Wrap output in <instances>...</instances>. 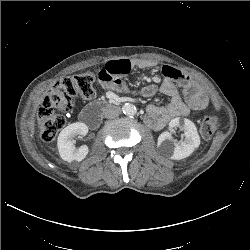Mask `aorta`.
Returning a JSON list of instances; mask_svg holds the SVG:
<instances>
[{"label": "aorta", "instance_id": "obj_1", "mask_svg": "<svg viewBox=\"0 0 250 250\" xmlns=\"http://www.w3.org/2000/svg\"><path fill=\"white\" fill-rule=\"evenodd\" d=\"M122 111L127 116H133L137 113L136 107L131 103H126L122 107Z\"/></svg>", "mask_w": 250, "mask_h": 250}]
</instances>
